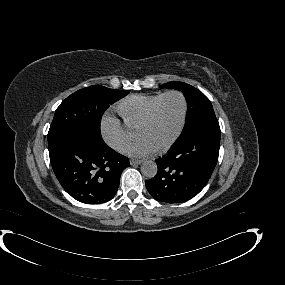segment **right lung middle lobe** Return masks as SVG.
<instances>
[{
	"label": "right lung middle lobe",
	"instance_id": "dd1d6c3e",
	"mask_svg": "<svg viewBox=\"0 0 285 285\" xmlns=\"http://www.w3.org/2000/svg\"><path fill=\"white\" fill-rule=\"evenodd\" d=\"M127 90L93 85L67 97L56 109L48 132V146L60 137L79 133L102 140L100 121L110 104L125 96Z\"/></svg>",
	"mask_w": 285,
	"mask_h": 285
}]
</instances>
